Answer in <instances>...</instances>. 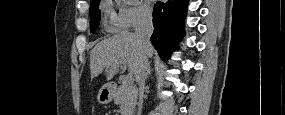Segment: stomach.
Masks as SVG:
<instances>
[{
  "label": "stomach",
  "instance_id": "0dacf381",
  "mask_svg": "<svg viewBox=\"0 0 285 115\" xmlns=\"http://www.w3.org/2000/svg\"><path fill=\"white\" fill-rule=\"evenodd\" d=\"M114 94V87L111 84H106L99 90L97 100L100 104H108L112 101Z\"/></svg>",
  "mask_w": 285,
  "mask_h": 115
}]
</instances>
